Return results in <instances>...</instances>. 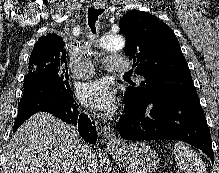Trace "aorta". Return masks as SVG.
<instances>
[{
    "label": "aorta",
    "mask_w": 219,
    "mask_h": 173,
    "mask_svg": "<svg viewBox=\"0 0 219 173\" xmlns=\"http://www.w3.org/2000/svg\"><path fill=\"white\" fill-rule=\"evenodd\" d=\"M98 46L107 51H120L125 47V38L121 35H106L98 39Z\"/></svg>",
    "instance_id": "1"
}]
</instances>
